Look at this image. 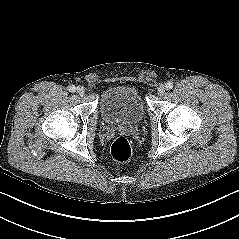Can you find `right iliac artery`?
Wrapping results in <instances>:
<instances>
[{
  "instance_id": "obj_1",
  "label": "right iliac artery",
  "mask_w": 239,
  "mask_h": 239,
  "mask_svg": "<svg viewBox=\"0 0 239 239\" xmlns=\"http://www.w3.org/2000/svg\"><path fill=\"white\" fill-rule=\"evenodd\" d=\"M68 90H69V92H75V90H76L75 85L69 86V87H68Z\"/></svg>"
}]
</instances>
